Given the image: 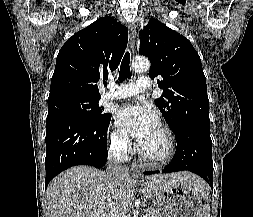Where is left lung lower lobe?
Here are the masks:
<instances>
[{"label":"left lung lower lobe","mask_w":253,"mask_h":217,"mask_svg":"<svg viewBox=\"0 0 253 217\" xmlns=\"http://www.w3.org/2000/svg\"><path fill=\"white\" fill-rule=\"evenodd\" d=\"M177 141L176 153L162 173L188 170L198 174L213 188L212 141L210 124L185 121L174 131ZM147 171L145 175L159 173Z\"/></svg>","instance_id":"left-lung-lower-lobe-1"}]
</instances>
